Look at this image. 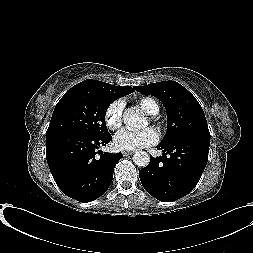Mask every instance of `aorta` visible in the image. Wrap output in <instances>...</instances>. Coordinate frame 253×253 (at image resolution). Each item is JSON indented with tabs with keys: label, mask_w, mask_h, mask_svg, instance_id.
Segmentation results:
<instances>
[{
	"label": "aorta",
	"mask_w": 253,
	"mask_h": 253,
	"mask_svg": "<svg viewBox=\"0 0 253 253\" xmlns=\"http://www.w3.org/2000/svg\"><path fill=\"white\" fill-rule=\"evenodd\" d=\"M123 120L124 124L131 128H142L145 125L143 115L132 109L124 112ZM133 162L138 166L145 167L150 162V156L144 151L136 152L133 156Z\"/></svg>",
	"instance_id": "aorta-1"
}]
</instances>
